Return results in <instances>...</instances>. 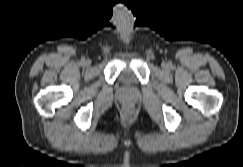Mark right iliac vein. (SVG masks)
<instances>
[{
    "instance_id": "obj_1",
    "label": "right iliac vein",
    "mask_w": 243,
    "mask_h": 167,
    "mask_svg": "<svg viewBox=\"0 0 243 167\" xmlns=\"http://www.w3.org/2000/svg\"><path fill=\"white\" fill-rule=\"evenodd\" d=\"M83 65L86 66V67H88V66H90V62L89 61H84L83 62Z\"/></svg>"
}]
</instances>
